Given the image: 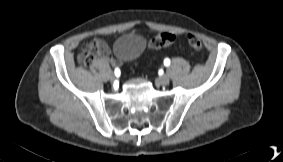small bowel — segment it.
<instances>
[{"label":"small bowel","mask_w":283,"mask_h":162,"mask_svg":"<svg viewBox=\"0 0 283 162\" xmlns=\"http://www.w3.org/2000/svg\"><path fill=\"white\" fill-rule=\"evenodd\" d=\"M83 52H88L92 56H96L100 60L107 61L110 59L109 46L104 40L100 38H95L94 40L88 42L84 46Z\"/></svg>","instance_id":"small-bowel-1"}]
</instances>
